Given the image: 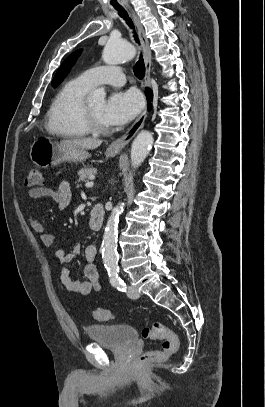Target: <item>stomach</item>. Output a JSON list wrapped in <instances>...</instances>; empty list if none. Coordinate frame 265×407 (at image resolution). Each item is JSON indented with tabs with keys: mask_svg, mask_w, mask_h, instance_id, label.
I'll return each instance as SVG.
<instances>
[{
	"mask_svg": "<svg viewBox=\"0 0 265 407\" xmlns=\"http://www.w3.org/2000/svg\"><path fill=\"white\" fill-rule=\"evenodd\" d=\"M116 151L107 149L106 155L114 157ZM90 154L86 149L73 145H63L50 139H37L31 145L30 159L38 167L47 168L59 165L62 162H82Z\"/></svg>",
	"mask_w": 265,
	"mask_h": 407,
	"instance_id": "0dacf381",
	"label": "stomach"
}]
</instances>
